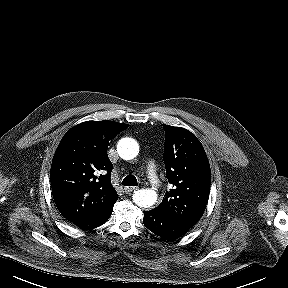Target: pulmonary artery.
<instances>
[{
  "mask_svg": "<svg viewBox=\"0 0 288 288\" xmlns=\"http://www.w3.org/2000/svg\"><path fill=\"white\" fill-rule=\"evenodd\" d=\"M147 175H148L150 181H156L157 180V167L153 161H149L147 164Z\"/></svg>",
  "mask_w": 288,
  "mask_h": 288,
  "instance_id": "obj_1",
  "label": "pulmonary artery"
}]
</instances>
